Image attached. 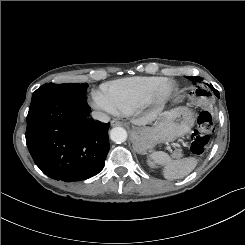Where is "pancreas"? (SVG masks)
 Instances as JSON below:
<instances>
[{
	"label": "pancreas",
	"mask_w": 245,
	"mask_h": 245,
	"mask_svg": "<svg viewBox=\"0 0 245 245\" xmlns=\"http://www.w3.org/2000/svg\"><path fill=\"white\" fill-rule=\"evenodd\" d=\"M180 156H181V152L180 151L174 153V157H180Z\"/></svg>",
	"instance_id": "pancreas-1"
}]
</instances>
